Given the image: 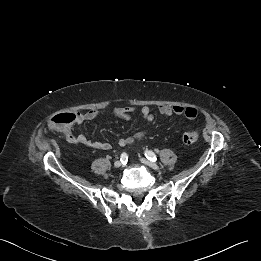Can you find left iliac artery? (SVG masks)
I'll return each mask as SVG.
<instances>
[{
    "label": "left iliac artery",
    "mask_w": 261,
    "mask_h": 261,
    "mask_svg": "<svg viewBox=\"0 0 261 261\" xmlns=\"http://www.w3.org/2000/svg\"><path fill=\"white\" fill-rule=\"evenodd\" d=\"M145 156L147 159H149L150 161L155 162L157 160V157L155 155L154 152L150 151V150H146L145 151Z\"/></svg>",
    "instance_id": "44dca946"
}]
</instances>
